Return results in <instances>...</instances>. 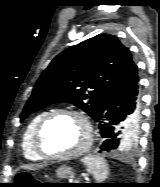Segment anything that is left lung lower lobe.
I'll list each match as a JSON object with an SVG mask.
<instances>
[{"label": "left lung lower lobe", "mask_w": 160, "mask_h": 187, "mask_svg": "<svg viewBox=\"0 0 160 187\" xmlns=\"http://www.w3.org/2000/svg\"><path fill=\"white\" fill-rule=\"evenodd\" d=\"M139 118V76L134 64L128 77L106 95L94 119L99 124L101 136L105 138L99 152L116 149L121 136L136 127Z\"/></svg>", "instance_id": "left-lung-lower-lobe-1"}]
</instances>
